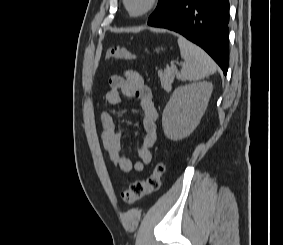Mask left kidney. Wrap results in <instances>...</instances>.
Returning a JSON list of instances; mask_svg holds the SVG:
<instances>
[{
	"instance_id": "5707ae66",
	"label": "left kidney",
	"mask_w": 283,
	"mask_h": 245,
	"mask_svg": "<svg viewBox=\"0 0 283 245\" xmlns=\"http://www.w3.org/2000/svg\"><path fill=\"white\" fill-rule=\"evenodd\" d=\"M212 90V83L207 81L180 86L174 90L162 115V126L167 138L181 140L194 131L206 110Z\"/></svg>"
}]
</instances>
